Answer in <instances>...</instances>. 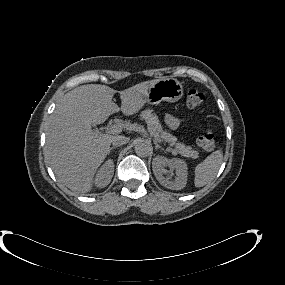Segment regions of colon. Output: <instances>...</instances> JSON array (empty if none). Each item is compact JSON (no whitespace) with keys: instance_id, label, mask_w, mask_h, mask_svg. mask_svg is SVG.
I'll use <instances>...</instances> for the list:
<instances>
[{"instance_id":"5ec220e1","label":"colon","mask_w":285,"mask_h":285,"mask_svg":"<svg viewBox=\"0 0 285 285\" xmlns=\"http://www.w3.org/2000/svg\"><path fill=\"white\" fill-rule=\"evenodd\" d=\"M204 100V95L202 92L192 89L187 94V106L191 109H196L201 106ZM198 144L201 148L206 151H212L215 149L216 140L214 135L211 132H203L198 137Z\"/></svg>"}]
</instances>
